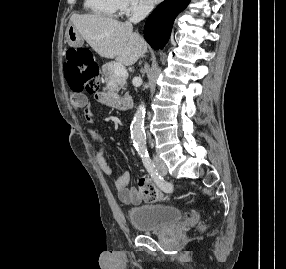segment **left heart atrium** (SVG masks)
I'll use <instances>...</instances> for the list:
<instances>
[{
    "label": "left heart atrium",
    "instance_id": "obj_1",
    "mask_svg": "<svg viewBox=\"0 0 286 269\" xmlns=\"http://www.w3.org/2000/svg\"><path fill=\"white\" fill-rule=\"evenodd\" d=\"M161 0H147L148 3L150 4H156L158 2H160Z\"/></svg>",
    "mask_w": 286,
    "mask_h": 269
}]
</instances>
